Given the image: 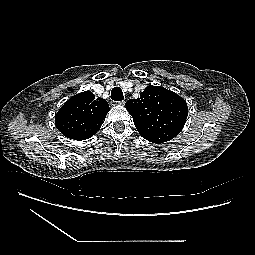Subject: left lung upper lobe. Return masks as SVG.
Here are the masks:
<instances>
[{"label":"left lung upper lobe","instance_id":"left-lung-upper-lobe-1","mask_svg":"<svg viewBox=\"0 0 255 255\" xmlns=\"http://www.w3.org/2000/svg\"><path fill=\"white\" fill-rule=\"evenodd\" d=\"M126 109L140 135L159 144L178 135L188 116L186 101L160 86H148L137 99H129Z\"/></svg>","mask_w":255,"mask_h":255}]
</instances>
